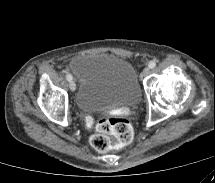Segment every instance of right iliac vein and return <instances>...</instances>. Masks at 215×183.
<instances>
[{
	"mask_svg": "<svg viewBox=\"0 0 215 183\" xmlns=\"http://www.w3.org/2000/svg\"><path fill=\"white\" fill-rule=\"evenodd\" d=\"M69 88L72 92L76 90V84L74 81H70Z\"/></svg>",
	"mask_w": 215,
	"mask_h": 183,
	"instance_id": "right-iliac-vein-1",
	"label": "right iliac vein"
}]
</instances>
